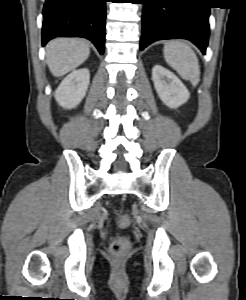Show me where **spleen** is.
<instances>
[{"instance_id":"3e777b00","label":"spleen","mask_w":246,"mask_h":300,"mask_svg":"<svg viewBox=\"0 0 246 300\" xmlns=\"http://www.w3.org/2000/svg\"><path fill=\"white\" fill-rule=\"evenodd\" d=\"M163 54L166 62L193 86L200 81L198 58L191 47L185 42L173 40L164 45Z\"/></svg>"}]
</instances>
